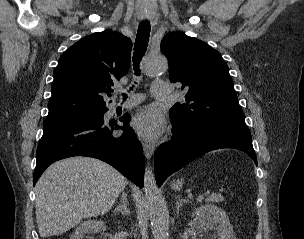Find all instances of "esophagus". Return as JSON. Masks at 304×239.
I'll use <instances>...</instances> for the list:
<instances>
[{
    "label": "esophagus",
    "instance_id": "1",
    "mask_svg": "<svg viewBox=\"0 0 304 239\" xmlns=\"http://www.w3.org/2000/svg\"><path fill=\"white\" fill-rule=\"evenodd\" d=\"M142 147H143V151H144L145 156L148 159H150L153 156L154 151H155L154 146L150 143L143 142Z\"/></svg>",
    "mask_w": 304,
    "mask_h": 239
}]
</instances>
